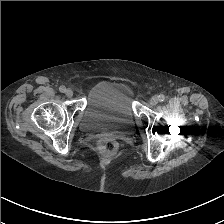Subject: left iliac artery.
Masks as SVG:
<instances>
[{
	"label": "left iliac artery",
	"mask_w": 224,
	"mask_h": 224,
	"mask_svg": "<svg viewBox=\"0 0 224 224\" xmlns=\"http://www.w3.org/2000/svg\"><path fill=\"white\" fill-rule=\"evenodd\" d=\"M158 97H159V101L161 102L165 100V96L163 94H160Z\"/></svg>",
	"instance_id": "1"
}]
</instances>
